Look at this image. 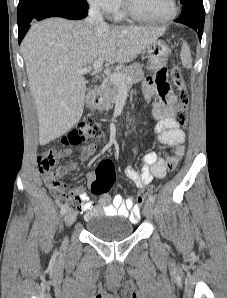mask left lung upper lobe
<instances>
[{
  "label": "left lung upper lobe",
  "instance_id": "1",
  "mask_svg": "<svg viewBox=\"0 0 227 298\" xmlns=\"http://www.w3.org/2000/svg\"><path fill=\"white\" fill-rule=\"evenodd\" d=\"M181 3L183 4V8L178 21L181 22L193 18L204 22L205 10L203 0H181Z\"/></svg>",
  "mask_w": 227,
  "mask_h": 298
}]
</instances>
